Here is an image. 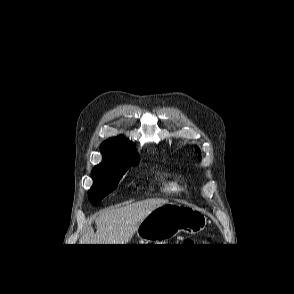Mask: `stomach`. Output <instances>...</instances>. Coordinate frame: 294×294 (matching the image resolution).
Masks as SVG:
<instances>
[{
  "mask_svg": "<svg viewBox=\"0 0 294 294\" xmlns=\"http://www.w3.org/2000/svg\"><path fill=\"white\" fill-rule=\"evenodd\" d=\"M206 225L207 217L194 207L167 202L145 217L136 234L144 244H161L181 231L196 234Z\"/></svg>",
  "mask_w": 294,
  "mask_h": 294,
  "instance_id": "1",
  "label": "stomach"
}]
</instances>
